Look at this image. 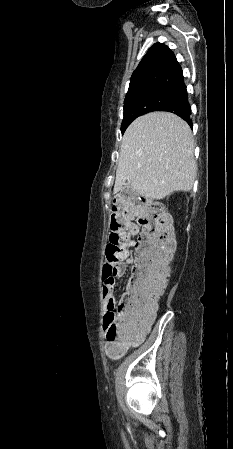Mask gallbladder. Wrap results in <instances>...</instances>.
<instances>
[{
  "label": "gallbladder",
  "instance_id": "gallbladder-1",
  "mask_svg": "<svg viewBox=\"0 0 233 449\" xmlns=\"http://www.w3.org/2000/svg\"><path fill=\"white\" fill-rule=\"evenodd\" d=\"M128 188H129V185H128V183L126 182V183L124 184V188H123V190H122V193H123V194H127V195H131V196L137 195V193L131 191V190L128 189Z\"/></svg>",
  "mask_w": 233,
  "mask_h": 449
}]
</instances>
